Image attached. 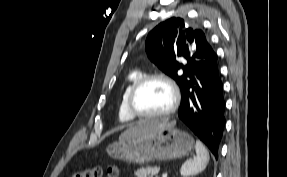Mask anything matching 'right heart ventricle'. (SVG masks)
Segmentation results:
<instances>
[{
    "label": "right heart ventricle",
    "mask_w": 287,
    "mask_h": 177,
    "mask_svg": "<svg viewBox=\"0 0 287 177\" xmlns=\"http://www.w3.org/2000/svg\"><path fill=\"white\" fill-rule=\"evenodd\" d=\"M142 77V74L140 71H132L130 72L124 82L121 99L119 103V118L123 122H132L135 120V116H133L127 106V99L129 96V93L135 83Z\"/></svg>",
    "instance_id": "e07e8e85"
}]
</instances>
